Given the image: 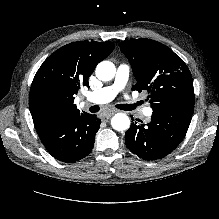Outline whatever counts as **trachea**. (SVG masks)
Returning a JSON list of instances; mask_svg holds the SVG:
<instances>
[{
	"label": "trachea",
	"instance_id": "obj_1",
	"mask_svg": "<svg viewBox=\"0 0 219 219\" xmlns=\"http://www.w3.org/2000/svg\"><path fill=\"white\" fill-rule=\"evenodd\" d=\"M136 105H139V104L137 103V104H134V105H126V107L129 110H132V109L135 108ZM116 108L121 109L119 105H116ZM89 110H90V112L95 113V112H98L100 110V107L98 105H94V106H91Z\"/></svg>",
	"mask_w": 219,
	"mask_h": 219
}]
</instances>
